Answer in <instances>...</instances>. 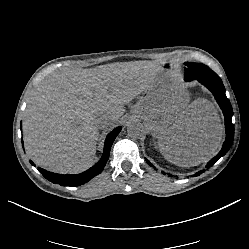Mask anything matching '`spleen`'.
<instances>
[{
  "label": "spleen",
  "instance_id": "3e777b00",
  "mask_svg": "<svg viewBox=\"0 0 249 249\" xmlns=\"http://www.w3.org/2000/svg\"><path fill=\"white\" fill-rule=\"evenodd\" d=\"M160 151L161 153L166 157L169 156L170 154H168L170 148L168 146H161L159 145Z\"/></svg>",
  "mask_w": 249,
  "mask_h": 249
}]
</instances>
